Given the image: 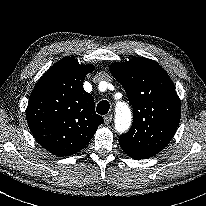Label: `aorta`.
Segmentation results:
<instances>
[{
	"label": "aorta",
	"instance_id": "762f6f07",
	"mask_svg": "<svg viewBox=\"0 0 206 206\" xmlns=\"http://www.w3.org/2000/svg\"><path fill=\"white\" fill-rule=\"evenodd\" d=\"M131 124V113L125 103H118L116 106L115 128L118 132H125Z\"/></svg>",
	"mask_w": 206,
	"mask_h": 206
}]
</instances>
